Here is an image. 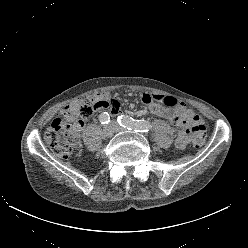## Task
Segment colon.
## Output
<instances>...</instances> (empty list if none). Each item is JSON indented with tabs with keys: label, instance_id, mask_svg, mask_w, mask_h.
<instances>
[{
	"label": "colon",
	"instance_id": "obj_1",
	"mask_svg": "<svg viewBox=\"0 0 248 248\" xmlns=\"http://www.w3.org/2000/svg\"><path fill=\"white\" fill-rule=\"evenodd\" d=\"M154 99L167 107H177L180 101L170 96H154ZM99 103L92 96L83 98L76 108L67 112L63 117L52 121L45 132V142L49 149L58 157L69 158L79 140V127L98 109ZM192 147L199 149L206 137V128L202 123L194 127Z\"/></svg>",
	"mask_w": 248,
	"mask_h": 248
}]
</instances>
